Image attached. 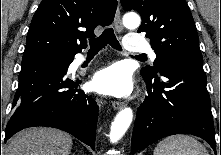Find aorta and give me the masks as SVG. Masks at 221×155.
<instances>
[{"mask_svg":"<svg viewBox=\"0 0 221 155\" xmlns=\"http://www.w3.org/2000/svg\"><path fill=\"white\" fill-rule=\"evenodd\" d=\"M140 17L135 13L126 14L123 23L127 28L133 29L140 25ZM133 119V110L130 107L122 109L115 117L110 128V140L117 142L125 134Z\"/></svg>","mask_w":221,"mask_h":155,"instance_id":"762f6f07","label":"aorta"}]
</instances>
